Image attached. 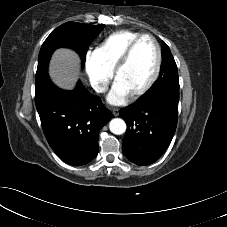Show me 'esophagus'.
Masks as SVG:
<instances>
[{"instance_id": "34e87169", "label": "esophagus", "mask_w": 227, "mask_h": 227, "mask_svg": "<svg viewBox=\"0 0 227 227\" xmlns=\"http://www.w3.org/2000/svg\"><path fill=\"white\" fill-rule=\"evenodd\" d=\"M112 114H113L114 116H118V115H119V110H118V109H113V110H112Z\"/></svg>"}]
</instances>
